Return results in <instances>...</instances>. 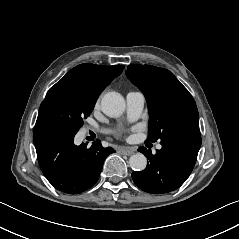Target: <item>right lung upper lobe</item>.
Returning <instances> with one entry per match:
<instances>
[{
	"label": "right lung upper lobe",
	"mask_w": 239,
	"mask_h": 239,
	"mask_svg": "<svg viewBox=\"0 0 239 239\" xmlns=\"http://www.w3.org/2000/svg\"><path fill=\"white\" fill-rule=\"evenodd\" d=\"M124 69V65L102 66L81 64L71 69L61 81L67 82L78 92L98 98L103 89Z\"/></svg>",
	"instance_id": "right-lung-upper-lobe-1"
}]
</instances>
